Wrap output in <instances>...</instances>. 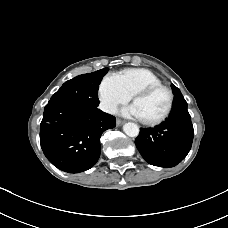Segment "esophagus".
Masks as SVG:
<instances>
[{
    "mask_svg": "<svg viewBox=\"0 0 228 228\" xmlns=\"http://www.w3.org/2000/svg\"><path fill=\"white\" fill-rule=\"evenodd\" d=\"M123 123H124V121L121 120V119H117V120H116L117 126H121Z\"/></svg>",
    "mask_w": 228,
    "mask_h": 228,
    "instance_id": "34e87169",
    "label": "esophagus"
}]
</instances>
